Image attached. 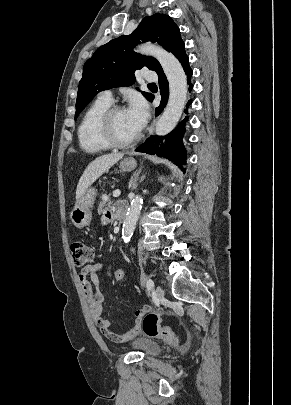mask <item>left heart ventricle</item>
Wrapping results in <instances>:
<instances>
[{"label":"left heart ventricle","mask_w":291,"mask_h":405,"mask_svg":"<svg viewBox=\"0 0 291 405\" xmlns=\"http://www.w3.org/2000/svg\"><path fill=\"white\" fill-rule=\"evenodd\" d=\"M113 129L115 136L121 141H129L138 134L133 127L126 110L121 111L114 116Z\"/></svg>","instance_id":"left-heart-ventricle-1"}]
</instances>
